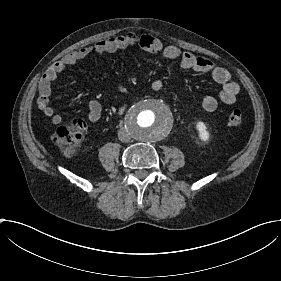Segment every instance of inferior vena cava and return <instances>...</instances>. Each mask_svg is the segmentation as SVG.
<instances>
[{
    "instance_id": "obj_1",
    "label": "inferior vena cava",
    "mask_w": 281,
    "mask_h": 281,
    "mask_svg": "<svg viewBox=\"0 0 281 281\" xmlns=\"http://www.w3.org/2000/svg\"><path fill=\"white\" fill-rule=\"evenodd\" d=\"M118 137H119V140L123 143H128L130 142L131 140V136L130 134L128 133V131L124 128H121L119 131H118Z\"/></svg>"
}]
</instances>
